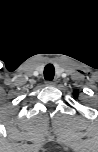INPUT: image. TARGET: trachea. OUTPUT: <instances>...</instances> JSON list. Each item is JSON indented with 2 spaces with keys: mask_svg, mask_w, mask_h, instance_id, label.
<instances>
[{
  "mask_svg": "<svg viewBox=\"0 0 98 152\" xmlns=\"http://www.w3.org/2000/svg\"><path fill=\"white\" fill-rule=\"evenodd\" d=\"M55 69L52 64H47L44 68V78L45 80L52 81L54 78Z\"/></svg>",
  "mask_w": 98,
  "mask_h": 152,
  "instance_id": "obj_1",
  "label": "trachea"
}]
</instances>
